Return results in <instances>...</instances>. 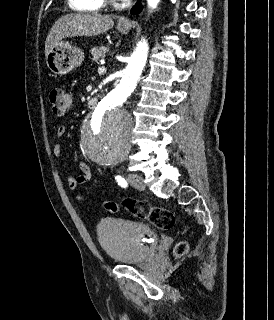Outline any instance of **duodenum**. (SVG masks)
Here are the masks:
<instances>
[{
  "mask_svg": "<svg viewBox=\"0 0 274 320\" xmlns=\"http://www.w3.org/2000/svg\"><path fill=\"white\" fill-rule=\"evenodd\" d=\"M88 104L90 108H96L99 104V99L97 97H91Z\"/></svg>",
  "mask_w": 274,
  "mask_h": 320,
  "instance_id": "1",
  "label": "duodenum"
}]
</instances>
